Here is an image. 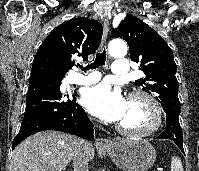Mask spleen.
<instances>
[{
    "label": "spleen",
    "mask_w": 199,
    "mask_h": 171,
    "mask_svg": "<svg viewBox=\"0 0 199 171\" xmlns=\"http://www.w3.org/2000/svg\"><path fill=\"white\" fill-rule=\"evenodd\" d=\"M171 171H184L183 165L178 156H173L171 160Z\"/></svg>",
    "instance_id": "obj_1"
}]
</instances>
